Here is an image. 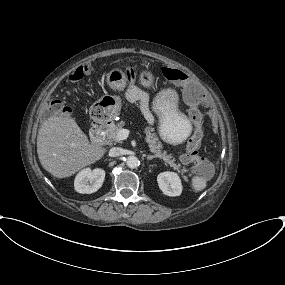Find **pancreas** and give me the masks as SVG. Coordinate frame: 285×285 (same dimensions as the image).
<instances>
[{
	"instance_id": "1",
	"label": "pancreas",
	"mask_w": 285,
	"mask_h": 285,
	"mask_svg": "<svg viewBox=\"0 0 285 285\" xmlns=\"http://www.w3.org/2000/svg\"><path fill=\"white\" fill-rule=\"evenodd\" d=\"M124 125V121H120L117 124L111 123L106 129L107 139L111 142H119L117 139V132L122 129ZM144 132L146 133L145 140L155 158L162 159L166 164L173 167L174 170H177L181 174L187 172L186 169H181V164L175 163V159H173L172 156L167 155L166 152L162 150V143L158 142V137L153 132L152 127L147 126Z\"/></svg>"
}]
</instances>
